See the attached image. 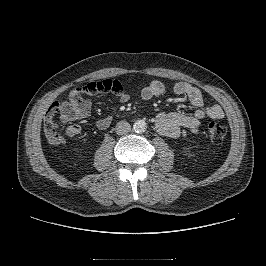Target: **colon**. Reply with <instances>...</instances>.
Returning a JSON list of instances; mask_svg holds the SVG:
<instances>
[{
	"label": "colon",
	"mask_w": 266,
	"mask_h": 266,
	"mask_svg": "<svg viewBox=\"0 0 266 266\" xmlns=\"http://www.w3.org/2000/svg\"><path fill=\"white\" fill-rule=\"evenodd\" d=\"M116 93L123 92L121 83L113 79H103L99 81L89 82L85 85L74 88L70 92V96H92L98 93ZM57 127L55 113L49 109L45 116V128L48 131H53ZM208 137L212 144H221L226 136V128L218 122H210L208 124Z\"/></svg>",
	"instance_id": "colon-1"
}]
</instances>
